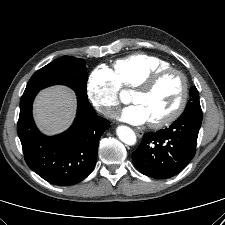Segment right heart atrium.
Returning <instances> with one entry per match:
<instances>
[{
  "label": "right heart atrium",
  "instance_id": "d8ad5b80",
  "mask_svg": "<svg viewBox=\"0 0 225 225\" xmlns=\"http://www.w3.org/2000/svg\"><path fill=\"white\" fill-rule=\"evenodd\" d=\"M120 85L114 73L105 67L92 71L87 83L91 103L106 116H113L119 103Z\"/></svg>",
  "mask_w": 225,
  "mask_h": 225
}]
</instances>
